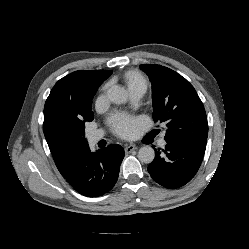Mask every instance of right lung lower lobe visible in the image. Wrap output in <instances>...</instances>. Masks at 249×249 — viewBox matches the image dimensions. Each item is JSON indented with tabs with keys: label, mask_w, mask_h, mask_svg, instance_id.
Here are the masks:
<instances>
[{
	"label": "right lung lower lobe",
	"mask_w": 249,
	"mask_h": 249,
	"mask_svg": "<svg viewBox=\"0 0 249 249\" xmlns=\"http://www.w3.org/2000/svg\"><path fill=\"white\" fill-rule=\"evenodd\" d=\"M123 158L124 149L117 144L97 152L83 146L71 150L64 164L57 168L77 192L87 197H98L115 185Z\"/></svg>",
	"instance_id": "obj_1"
}]
</instances>
